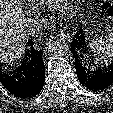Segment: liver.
I'll list each match as a JSON object with an SVG mask.
<instances>
[{
	"label": "liver",
	"instance_id": "6515ba94",
	"mask_svg": "<svg viewBox=\"0 0 113 113\" xmlns=\"http://www.w3.org/2000/svg\"><path fill=\"white\" fill-rule=\"evenodd\" d=\"M26 11L19 0H0V61H20L28 37Z\"/></svg>",
	"mask_w": 113,
	"mask_h": 113
}]
</instances>
